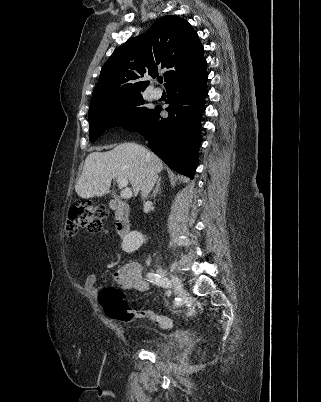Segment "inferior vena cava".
Instances as JSON below:
<instances>
[{
  "label": "inferior vena cava",
  "mask_w": 321,
  "mask_h": 402,
  "mask_svg": "<svg viewBox=\"0 0 321 402\" xmlns=\"http://www.w3.org/2000/svg\"><path fill=\"white\" fill-rule=\"evenodd\" d=\"M157 178H158V175L155 172V170L151 166H148L143 183H142V187H141V197L143 200L149 195Z\"/></svg>",
  "instance_id": "1"
}]
</instances>
